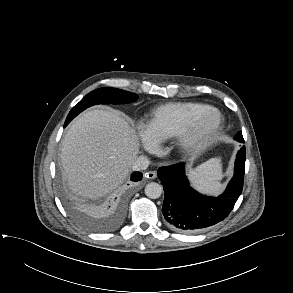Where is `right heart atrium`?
<instances>
[{
	"mask_svg": "<svg viewBox=\"0 0 293 293\" xmlns=\"http://www.w3.org/2000/svg\"><path fill=\"white\" fill-rule=\"evenodd\" d=\"M134 136L137 144L147 152H154L157 148L158 141L150 134L144 123L139 122L135 125Z\"/></svg>",
	"mask_w": 293,
	"mask_h": 293,
	"instance_id": "obj_1",
	"label": "right heart atrium"
}]
</instances>
